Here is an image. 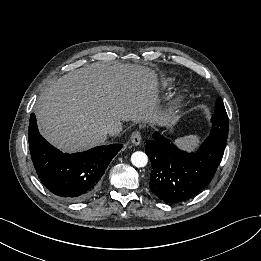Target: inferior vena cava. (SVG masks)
I'll return each mask as SVG.
<instances>
[{
  "label": "inferior vena cava",
  "mask_w": 261,
  "mask_h": 261,
  "mask_svg": "<svg viewBox=\"0 0 261 261\" xmlns=\"http://www.w3.org/2000/svg\"><path fill=\"white\" fill-rule=\"evenodd\" d=\"M122 126L119 124H109L104 127L103 133L105 135H117L121 132Z\"/></svg>",
  "instance_id": "602c4592"
}]
</instances>
